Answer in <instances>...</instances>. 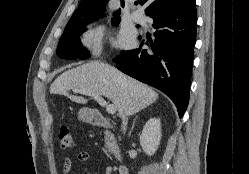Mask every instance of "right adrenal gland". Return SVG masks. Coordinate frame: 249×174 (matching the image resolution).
<instances>
[{"label": "right adrenal gland", "instance_id": "obj_1", "mask_svg": "<svg viewBox=\"0 0 249 174\" xmlns=\"http://www.w3.org/2000/svg\"><path fill=\"white\" fill-rule=\"evenodd\" d=\"M137 118V117H136ZM136 118L134 119V121H133V125H132V128H131V130H130V135H131V133H132V131H133V129H134V126H135V122H136Z\"/></svg>", "mask_w": 249, "mask_h": 174}]
</instances>
